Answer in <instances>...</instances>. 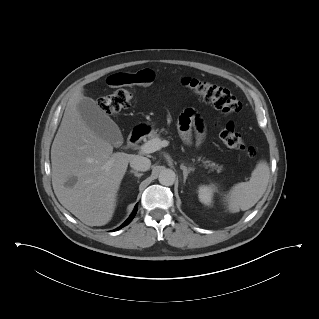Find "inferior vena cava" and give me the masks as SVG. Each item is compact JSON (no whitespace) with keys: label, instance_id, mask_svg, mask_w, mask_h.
I'll list each match as a JSON object with an SVG mask.
<instances>
[{"label":"inferior vena cava","instance_id":"602c4592","mask_svg":"<svg viewBox=\"0 0 319 319\" xmlns=\"http://www.w3.org/2000/svg\"><path fill=\"white\" fill-rule=\"evenodd\" d=\"M150 165L151 161L143 156L134 155L130 160V166L137 171H147Z\"/></svg>","mask_w":319,"mask_h":319}]
</instances>
